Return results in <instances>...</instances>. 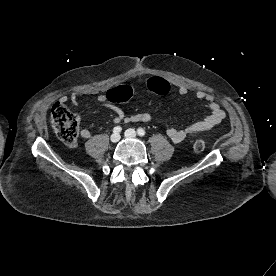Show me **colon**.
Listing matches in <instances>:
<instances>
[{
	"label": "colon",
	"instance_id": "1",
	"mask_svg": "<svg viewBox=\"0 0 276 276\" xmlns=\"http://www.w3.org/2000/svg\"><path fill=\"white\" fill-rule=\"evenodd\" d=\"M160 84L169 86L167 81L160 78L152 79L148 83L152 90H159ZM108 96L112 101L128 100L132 96V93L124 86L122 88L111 89ZM50 118L59 139L66 145H73L79 134L78 116L70 112L61 103H56L51 109ZM192 148L197 153L202 152L205 149V142L203 140H196Z\"/></svg>",
	"mask_w": 276,
	"mask_h": 276
}]
</instances>
